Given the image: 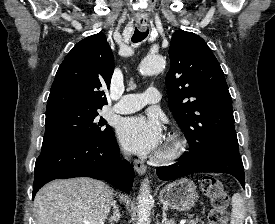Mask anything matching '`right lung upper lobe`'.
<instances>
[{
    "mask_svg": "<svg viewBox=\"0 0 275 224\" xmlns=\"http://www.w3.org/2000/svg\"><path fill=\"white\" fill-rule=\"evenodd\" d=\"M114 59L106 36L98 33L78 42L59 66L46 113L64 108L102 109L103 89L110 87Z\"/></svg>",
    "mask_w": 275,
    "mask_h": 224,
    "instance_id": "1",
    "label": "right lung upper lobe"
}]
</instances>
